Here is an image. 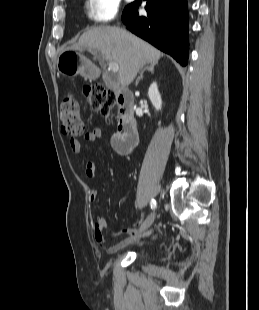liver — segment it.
<instances>
[{"label":"liver","instance_id":"1","mask_svg":"<svg viewBox=\"0 0 259 310\" xmlns=\"http://www.w3.org/2000/svg\"><path fill=\"white\" fill-rule=\"evenodd\" d=\"M74 50L100 51L105 60L118 63V81L130 85L146 64L158 62L162 53L135 35L118 27H95L81 35Z\"/></svg>","mask_w":259,"mask_h":310}]
</instances>
